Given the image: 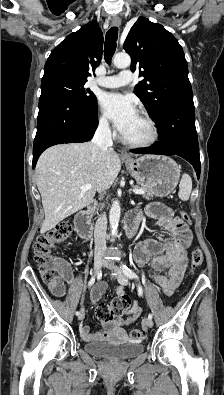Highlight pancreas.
<instances>
[{"label": "pancreas", "instance_id": "obj_1", "mask_svg": "<svg viewBox=\"0 0 224 395\" xmlns=\"http://www.w3.org/2000/svg\"><path fill=\"white\" fill-rule=\"evenodd\" d=\"M134 188L135 189H142V190H144L145 191V193L144 194H142L143 195V197L144 198H146V199H152L153 198V194L151 193V192H149L148 190H146L145 188H143V187H139V186H134Z\"/></svg>", "mask_w": 224, "mask_h": 395}]
</instances>
